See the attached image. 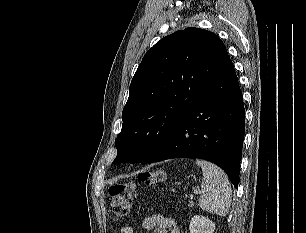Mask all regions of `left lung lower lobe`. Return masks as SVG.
I'll list each match as a JSON object with an SVG mask.
<instances>
[{"mask_svg": "<svg viewBox=\"0 0 306 233\" xmlns=\"http://www.w3.org/2000/svg\"><path fill=\"white\" fill-rule=\"evenodd\" d=\"M244 122L243 97L228 57L219 73L147 163L181 157L204 159L221 167L237 188Z\"/></svg>", "mask_w": 306, "mask_h": 233, "instance_id": "1", "label": "left lung lower lobe"}]
</instances>
